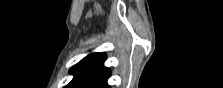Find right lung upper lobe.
<instances>
[{
	"label": "right lung upper lobe",
	"instance_id": "right-lung-upper-lobe-1",
	"mask_svg": "<svg viewBox=\"0 0 223 88\" xmlns=\"http://www.w3.org/2000/svg\"><path fill=\"white\" fill-rule=\"evenodd\" d=\"M105 59L104 53H92L82 59L71 69L74 78L66 88H108L110 71L103 66Z\"/></svg>",
	"mask_w": 223,
	"mask_h": 88
}]
</instances>
